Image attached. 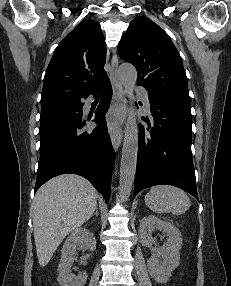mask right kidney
I'll list each match as a JSON object with an SVG mask.
<instances>
[{
    "label": "right kidney",
    "instance_id": "1",
    "mask_svg": "<svg viewBox=\"0 0 231 286\" xmlns=\"http://www.w3.org/2000/svg\"><path fill=\"white\" fill-rule=\"evenodd\" d=\"M79 244H85L90 251L96 249L95 237L87 229L81 227L71 233L62 248L61 259L58 266V282L60 286H84L87 281L86 273H82L78 276L71 273L76 248Z\"/></svg>",
    "mask_w": 231,
    "mask_h": 286
}]
</instances>
